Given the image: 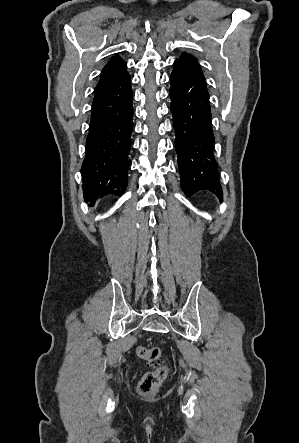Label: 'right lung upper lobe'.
I'll return each instance as SVG.
<instances>
[{
  "mask_svg": "<svg viewBox=\"0 0 299 443\" xmlns=\"http://www.w3.org/2000/svg\"><path fill=\"white\" fill-rule=\"evenodd\" d=\"M126 68V63L119 56L113 57L104 67L95 93L104 89L105 87L119 79L121 76L126 74Z\"/></svg>",
  "mask_w": 299,
  "mask_h": 443,
  "instance_id": "obj_1",
  "label": "right lung upper lobe"
}]
</instances>
